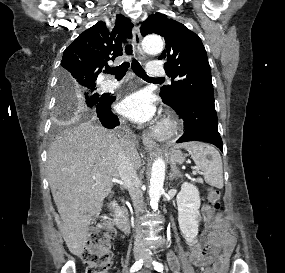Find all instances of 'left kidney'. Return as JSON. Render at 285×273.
Listing matches in <instances>:
<instances>
[{
	"mask_svg": "<svg viewBox=\"0 0 285 273\" xmlns=\"http://www.w3.org/2000/svg\"><path fill=\"white\" fill-rule=\"evenodd\" d=\"M176 200L180 230L188 242H194L199 226L198 217L201 204L199 191L194 185L185 182Z\"/></svg>",
	"mask_w": 285,
	"mask_h": 273,
	"instance_id": "5707ae66",
	"label": "left kidney"
}]
</instances>
